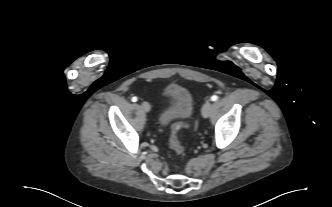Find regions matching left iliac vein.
<instances>
[{
	"label": "left iliac vein",
	"mask_w": 332,
	"mask_h": 207,
	"mask_svg": "<svg viewBox=\"0 0 332 207\" xmlns=\"http://www.w3.org/2000/svg\"><path fill=\"white\" fill-rule=\"evenodd\" d=\"M211 109L212 103L210 101H207L202 107V116L204 118H207L210 115Z\"/></svg>",
	"instance_id": "obj_1"
}]
</instances>
